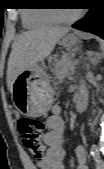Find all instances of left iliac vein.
<instances>
[{
    "mask_svg": "<svg viewBox=\"0 0 104 169\" xmlns=\"http://www.w3.org/2000/svg\"><path fill=\"white\" fill-rule=\"evenodd\" d=\"M96 169H104V163L101 159L96 162Z\"/></svg>",
    "mask_w": 104,
    "mask_h": 169,
    "instance_id": "obj_1",
    "label": "left iliac vein"
}]
</instances>
